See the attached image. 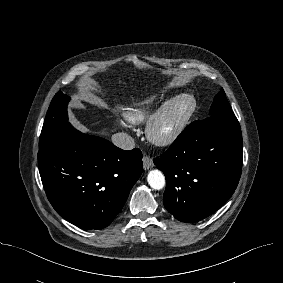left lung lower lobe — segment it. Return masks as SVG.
Segmentation results:
<instances>
[{
	"mask_svg": "<svg viewBox=\"0 0 283 283\" xmlns=\"http://www.w3.org/2000/svg\"><path fill=\"white\" fill-rule=\"evenodd\" d=\"M242 148L234 114L211 115L188 125L168 150L154 159L166 177L165 208L186 223L218 210L238 185Z\"/></svg>",
	"mask_w": 283,
	"mask_h": 283,
	"instance_id": "1",
	"label": "left lung lower lobe"
}]
</instances>
